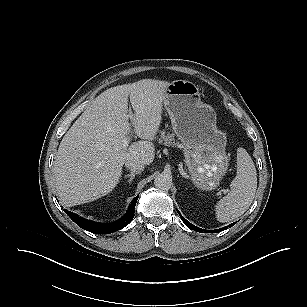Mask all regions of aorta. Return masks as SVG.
<instances>
[{"label": "aorta", "instance_id": "1", "mask_svg": "<svg viewBox=\"0 0 307 307\" xmlns=\"http://www.w3.org/2000/svg\"><path fill=\"white\" fill-rule=\"evenodd\" d=\"M156 188L161 190H169L172 185V176L167 173H160L154 180Z\"/></svg>", "mask_w": 307, "mask_h": 307}]
</instances>
